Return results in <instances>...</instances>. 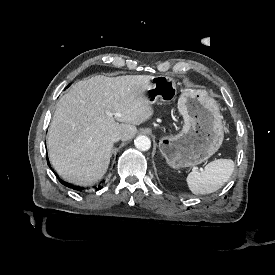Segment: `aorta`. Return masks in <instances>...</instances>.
<instances>
[{
    "instance_id": "aorta-1",
    "label": "aorta",
    "mask_w": 275,
    "mask_h": 275,
    "mask_svg": "<svg viewBox=\"0 0 275 275\" xmlns=\"http://www.w3.org/2000/svg\"><path fill=\"white\" fill-rule=\"evenodd\" d=\"M135 147L141 151H147L151 147V141L147 136L140 135L134 141Z\"/></svg>"
}]
</instances>
